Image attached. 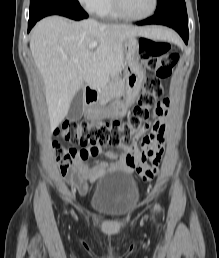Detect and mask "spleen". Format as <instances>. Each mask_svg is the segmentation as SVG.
<instances>
[{"mask_svg":"<svg viewBox=\"0 0 219 258\" xmlns=\"http://www.w3.org/2000/svg\"><path fill=\"white\" fill-rule=\"evenodd\" d=\"M167 34H168V31L166 32ZM170 39H176V36H175V38H172V37H169Z\"/></svg>","mask_w":219,"mask_h":258,"instance_id":"obj_1","label":"spleen"}]
</instances>
